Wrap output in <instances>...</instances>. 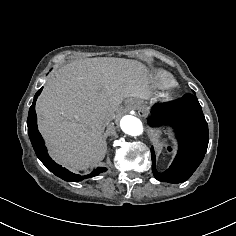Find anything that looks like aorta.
<instances>
[{
	"label": "aorta",
	"instance_id": "762f6f07",
	"mask_svg": "<svg viewBox=\"0 0 236 236\" xmlns=\"http://www.w3.org/2000/svg\"><path fill=\"white\" fill-rule=\"evenodd\" d=\"M122 131L131 136H139L143 133V125L139 118L133 115H125L120 121Z\"/></svg>",
	"mask_w": 236,
	"mask_h": 236
}]
</instances>
